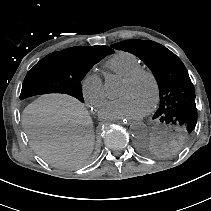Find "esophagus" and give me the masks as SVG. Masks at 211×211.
<instances>
[{
  "instance_id": "esophagus-1",
  "label": "esophagus",
  "mask_w": 211,
  "mask_h": 211,
  "mask_svg": "<svg viewBox=\"0 0 211 211\" xmlns=\"http://www.w3.org/2000/svg\"><path fill=\"white\" fill-rule=\"evenodd\" d=\"M118 122L120 123V124H123L124 126H128L130 123H131V120L129 119V118H123V117H120L119 119H118Z\"/></svg>"
}]
</instances>
